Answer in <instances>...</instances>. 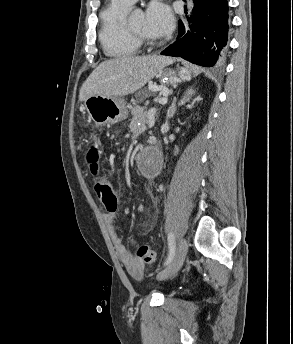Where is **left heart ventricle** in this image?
I'll return each instance as SVG.
<instances>
[{"instance_id":"b2bd125f","label":"left heart ventricle","mask_w":293,"mask_h":344,"mask_svg":"<svg viewBox=\"0 0 293 344\" xmlns=\"http://www.w3.org/2000/svg\"><path fill=\"white\" fill-rule=\"evenodd\" d=\"M129 26L130 29H132L134 32L142 34L146 37H148L149 39H155V37L150 36L149 34L146 33L145 29H144V14L143 13H139L134 15L128 22L127 24Z\"/></svg>"}]
</instances>
